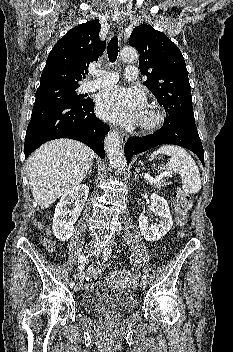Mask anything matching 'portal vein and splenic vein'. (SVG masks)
Listing matches in <instances>:
<instances>
[{
    "label": "portal vein and splenic vein",
    "mask_w": 233,
    "mask_h": 352,
    "mask_svg": "<svg viewBox=\"0 0 233 352\" xmlns=\"http://www.w3.org/2000/svg\"><path fill=\"white\" fill-rule=\"evenodd\" d=\"M164 177H172L171 173L168 171L163 172L162 174H160L159 176L153 178L148 174H145V178L150 181V182H159L161 181Z\"/></svg>",
    "instance_id": "obj_1"
}]
</instances>
